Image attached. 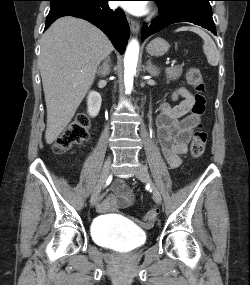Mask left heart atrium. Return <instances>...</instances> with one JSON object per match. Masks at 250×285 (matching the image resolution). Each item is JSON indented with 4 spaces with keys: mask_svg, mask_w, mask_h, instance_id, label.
Segmentation results:
<instances>
[{
    "mask_svg": "<svg viewBox=\"0 0 250 285\" xmlns=\"http://www.w3.org/2000/svg\"><path fill=\"white\" fill-rule=\"evenodd\" d=\"M118 5L127 12L135 15H141L147 10V5L144 1H122Z\"/></svg>",
    "mask_w": 250,
    "mask_h": 285,
    "instance_id": "39dd6f15",
    "label": "left heart atrium"
}]
</instances>
